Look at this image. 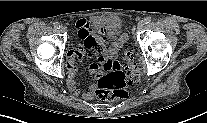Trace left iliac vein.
<instances>
[{
  "instance_id": "left-iliac-vein-1",
  "label": "left iliac vein",
  "mask_w": 207,
  "mask_h": 123,
  "mask_svg": "<svg viewBox=\"0 0 207 123\" xmlns=\"http://www.w3.org/2000/svg\"><path fill=\"white\" fill-rule=\"evenodd\" d=\"M144 25H145L144 21H140V22L138 23L137 29H138V30L143 29Z\"/></svg>"
}]
</instances>
